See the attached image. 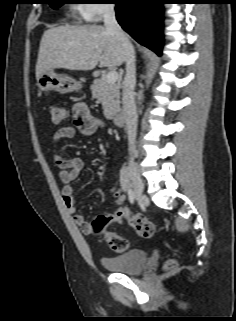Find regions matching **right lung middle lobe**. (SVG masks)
Wrapping results in <instances>:
<instances>
[{"mask_svg":"<svg viewBox=\"0 0 236 321\" xmlns=\"http://www.w3.org/2000/svg\"><path fill=\"white\" fill-rule=\"evenodd\" d=\"M50 1L51 2H49V4L53 9H57L63 4L62 0H50Z\"/></svg>","mask_w":236,"mask_h":321,"instance_id":"right-lung-middle-lobe-1","label":"right lung middle lobe"}]
</instances>
